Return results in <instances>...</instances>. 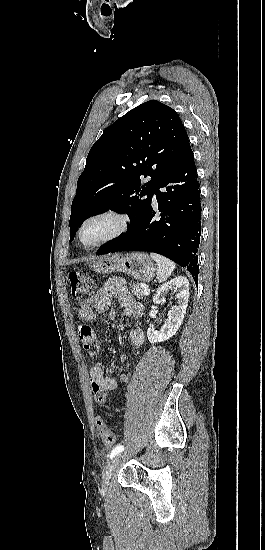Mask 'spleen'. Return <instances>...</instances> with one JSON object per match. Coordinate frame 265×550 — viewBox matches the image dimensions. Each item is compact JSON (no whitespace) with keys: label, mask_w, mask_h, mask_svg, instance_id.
<instances>
[{"label":"spleen","mask_w":265,"mask_h":550,"mask_svg":"<svg viewBox=\"0 0 265 550\" xmlns=\"http://www.w3.org/2000/svg\"><path fill=\"white\" fill-rule=\"evenodd\" d=\"M150 256L157 263V266H158L157 279L159 283L166 281L171 275V273L174 271L175 263L155 253H151Z\"/></svg>","instance_id":"1"}]
</instances>
